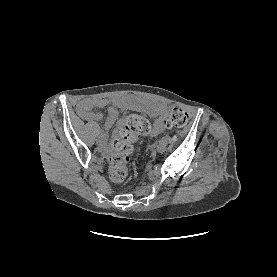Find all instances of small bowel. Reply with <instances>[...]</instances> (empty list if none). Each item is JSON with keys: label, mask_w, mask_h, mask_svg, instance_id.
Here are the masks:
<instances>
[{"label": "small bowel", "mask_w": 277, "mask_h": 277, "mask_svg": "<svg viewBox=\"0 0 277 277\" xmlns=\"http://www.w3.org/2000/svg\"><path fill=\"white\" fill-rule=\"evenodd\" d=\"M147 107L148 112L155 118L154 127L150 133L151 137H156L164 130V119L167 113V107L161 103L144 102L143 100L131 95L118 96L112 99L107 98H86L77 105V113L79 116L89 122H99L103 119L100 112L93 111V108L108 107L105 129L109 130L114 124L117 128L114 135H118L122 126V121L118 120L120 110H142Z\"/></svg>", "instance_id": "c3829d8e"}]
</instances>
